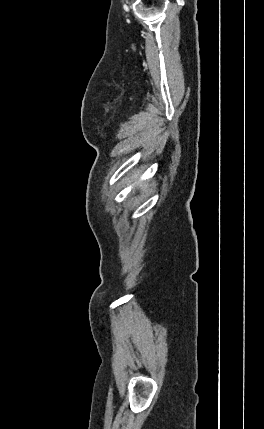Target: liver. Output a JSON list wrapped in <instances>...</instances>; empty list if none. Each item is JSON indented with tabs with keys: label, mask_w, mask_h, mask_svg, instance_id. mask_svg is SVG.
I'll list each match as a JSON object with an SVG mask.
<instances>
[{
	"label": "liver",
	"mask_w": 264,
	"mask_h": 429,
	"mask_svg": "<svg viewBox=\"0 0 264 429\" xmlns=\"http://www.w3.org/2000/svg\"><path fill=\"white\" fill-rule=\"evenodd\" d=\"M137 174H135L134 175V179H136L137 178ZM132 180H133V178H132ZM140 188L142 189V190H146V189H148V184L147 183H144L143 185H141L140 186Z\"/></svg>",
	"instance_id": "1"
}]
</instances>
